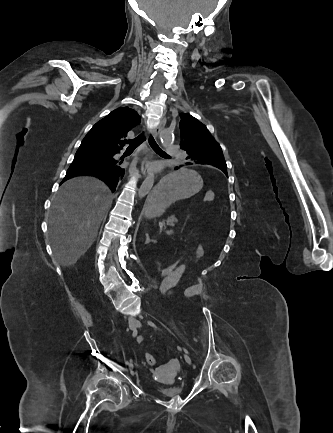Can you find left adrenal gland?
<instances>
[{
	"instance_id": "left-adrenal-gland-1",
	"label": "left adrenal gland",
	"mask_w": 333,
	"mask_h": 433,
	"mask_svg": "<svg viewBox=\"0 0 333 433\" xmlns=\"http://www.w3.org/2000/svg\"><path fill=\"white\" fill-rule=\"evenodd\" d=\"M150 242H155V241H154V240H151L150 237H149V234L146 233V241H145V244H149Z\"/></svg>"
}]
</instances>
